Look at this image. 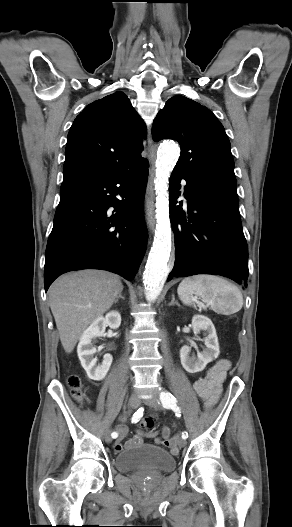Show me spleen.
<instances>
[{"label":"spleen","instance_id":"3e777b00","mask_svg":"<svg viewBox=\"0 0 292 527\" xmlns=\"http://www.w3.org/2000/svg\"><path fill=\"white\" fill-rule=\"evenodd\" d=\"M177 293L186 305H193L195 297H200L213 311L219 313L233 314L243 306L239 288L215 275L186 277L179 284Z\"/></svg>","mask_w":292,"mask_h":527}]
</instances>
